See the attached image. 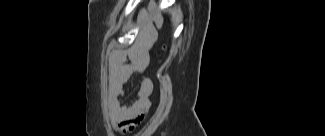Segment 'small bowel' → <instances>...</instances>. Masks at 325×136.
<instances>
[{
    "label": "small bowel",
    "mask_w": 325,
    "mask_h": 136,
    "mask_svg": "<svg viewBox=\"0 0 325 136\" xmlns=\"http://www.w3.org/2000/svg\"><path fill=\"white\" fill-rule=\"evenodd\" d=\"M131 55L127 51L115 50L109 56V82L107 104L112 124L119 131H130L143 120L150 108V96L153 83L150 78H144L139 85L135 100L128 106L121 105L124 95V84L135 72L136 66L129 62ZM143 65L138 67L142 69Z\"/></svg>",
    "instance_id": "1"
}]
</instances>
